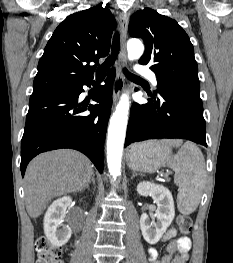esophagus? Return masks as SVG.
I'll return each instance as SVG.
<instances>
[{
  "label": "esophagus",
  "instance_id": "34e87169",
  "mask_svg": "<svg viewBox=\"0 0 233 263\" xmlns=\"http://www.w3.org/2000/svg\"><path fill=\"white\" fill-rule=\"evenodd\" d=\"M120 23V40H121V51H120V64L117 67L116 78L113 86V103L115 104L123 91L124 88V75L122 73V67L126 61V38L129 18L127 15H121L119 19Z\"/></svg>",
  "mask_w": 233,
  "mask_h": 263
}]
</instances>
